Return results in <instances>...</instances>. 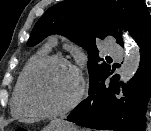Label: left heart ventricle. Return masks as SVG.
<instances>
[{"label": "left heart ventricle", "instance_id": "obj_1", "mask_svg": "<svg viewBox=\"0 0 151 131\" xmlns=\"http://www.w3.org/2000/svg\"><path fill=\"white\" fill-rule=\"evenodd\" d=\"M77 87L74 73L61 64L38 69L28 85L29 104L41 111H53L64 106Z\"/></svg>", "mask_w": 151, "mask_h": 131}]
</instances>
